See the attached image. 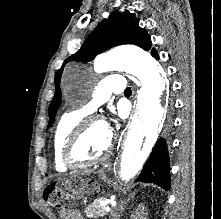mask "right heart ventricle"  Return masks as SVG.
Returning a JSON list of instances; mask_svg holds the SVG:
<instances>
[{"instance_id":"1","label":"right heart ventricle","mask_w":221,"mask_h":219,"mask_svg":"<svg viewBox=\"0 0 221 219\" xmlns=\"http://www.w3.org/2000/svg\"><path fill=\"white\" fill-rule=\"evenodd\" d=\"M86 112L82 110H73L64 113L56 123L53 132V162L57 171L65 172L69 167L62 158V152L66 140L73 131V129L83 120Z\"/></svg>"}]
</instances>
